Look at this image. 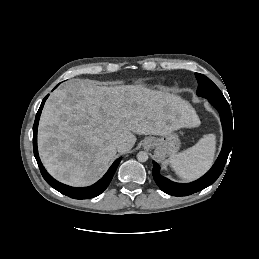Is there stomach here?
<instances>
[{
	"mask_svg": "<svg viewBox=\"0 0 259 259\" xmlns=\"http://www.w3.org/2000/svg\"><path fill=\"white\" fill-rule=\"evenodd\" d=\"M148 139L152 140L153 146L155 147L154 157L159 161L176 154L181 144L178 135L173 132L161 136L160 138H147L144 140V145H146Z\"/></svg>",
	"mask_w": 259,
	"mask_h": 259,
	"instance_id": "1",
	"label": "stomach"
}]
</instances>
